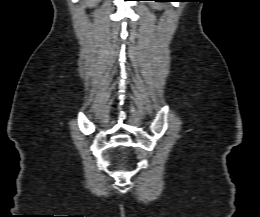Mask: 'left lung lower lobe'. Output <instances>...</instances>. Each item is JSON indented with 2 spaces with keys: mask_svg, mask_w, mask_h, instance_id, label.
Here are the masks:
<instances>
[{
  "mask_svg": "<svg viewBox=\"0 0 260 217\" xmlns=\"http://www.w3.org/2000/svg\"><path fill=\"white\" fill-rule=\"evenodd\" d=\"M153 1H156V2H167V1H170V0H153Z\"/></svg>",
  "mask_w": 260,
  "mask_h": 217,
  "instance_id": "1",
  "label": "left lung lower lobe"
}]
</instances>
